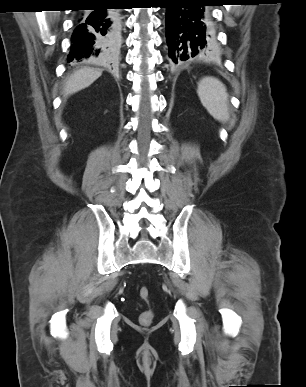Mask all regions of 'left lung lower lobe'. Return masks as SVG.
Instances as JSON below:
<instances>
[{"label": "left lung lower lobe", "mask_w": 306, "mask_h": 387, "mask_svg": "<svg viewBox=\"0 0 306 387\" xmlns=\"http://www.w3.org/2000/svg\"><path fill=\"white\" fill-rule=\"evenodd\" d=\"M168 56L174 66L203 58L214 44L212 0H164Z\"/></svg>", "instance_id": "obj_1"}]
</instances>
